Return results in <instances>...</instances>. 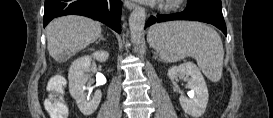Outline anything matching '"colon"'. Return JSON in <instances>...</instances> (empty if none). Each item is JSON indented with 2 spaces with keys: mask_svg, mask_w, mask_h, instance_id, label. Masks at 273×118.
Returning a JSON list of instances; mask_svg holds the SVG:
<instances>
[{
  "mask_svg": "<svg viewBox=\"0 0 273 118\" xmlns=\"http://www.w3.org/2000/svg\"><path fill=\"white\" fill-rule=\"evenodd\" d=\"M61 89L57 82H53L51 93L44 101L46 110L53 118H66L68 115V107L61 94Z\"/></svg>",
  "mask_w": 273,
  "mask_h": 118,
  "instance_id": "1",
  "label": "colon"
}]
</instances>
